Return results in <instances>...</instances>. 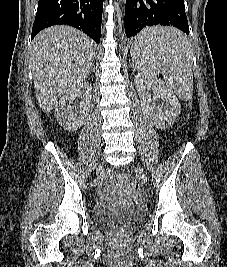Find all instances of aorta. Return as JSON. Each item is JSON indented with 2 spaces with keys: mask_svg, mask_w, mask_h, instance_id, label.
<instances>
[{
  "mask_svg": "<svg viewBox=\"0 0 227 267\" xmlns=\"http://www.w3.org/2000/svg\"><path fill=\"white\" fill-rule=\"evenodd\" d=\"M121 1H123V0H118V2H117V7L119 6V4L121 3Z\"/></svg>",
  "mask_w": 227,
  "mask_h": 267,
  "instance_id": "aorta-1",
  "label": "aorta"
}]
</instances>
